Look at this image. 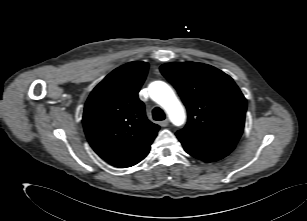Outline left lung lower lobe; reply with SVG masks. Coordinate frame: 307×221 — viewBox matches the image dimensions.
<instances>
[{
  "instance_id": "1",
  "label": "left lung lower lobe",
  "mask_w": 307,
  "mask_h": 221,
  "mask_svg": "<svg viewBox=\"0 0 307 221\" xmlns=\"http://www.w3.org/2000/svg\"><path fill=\"white\" fill-rule=\"evenodd\" d=\"M176 136L188 154L205 162H214L224 158L232 152L236 146L229 143L198 139L178 132Z\"/></svg>"
}]
</instances>
